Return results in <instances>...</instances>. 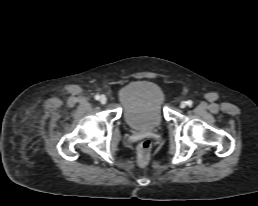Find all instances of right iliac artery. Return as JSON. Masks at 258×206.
<instances>
[{
  "instance_id": "1",
  "label": "right iliac artery",
  "mask_w": 258,
  "mask_h": 206,
  "mask_svg": "<svg viewBox=\"0 0 258 206\" xmlns=\"http://www.w3.org/2000/svg\"><path fill=\"white\" fill-rule=\"evenodd\" d=\"M95 99L96 100H99L100 99V96L97 94V95H95Z\"/></svg>"
}]
</instances>
